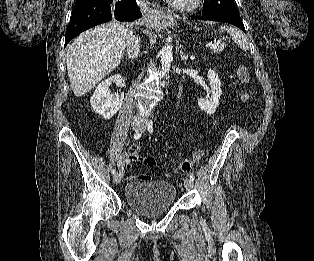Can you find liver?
<instances>
[{"mask_svg": "<svg viewBox=\"0 0 314 261\" xmlns=\"http://www.w3.org/2000/svg\"><path fill=\"white\" fill-rule=\"evenodd\" d=\"M131 30L118 22L98 25L80 34L69 46L67 71L72 91L81 97L116 69Z\"/></svg>", "mask_w": 314, "mask_h": 261, "instance_id": "1", "label": "liver"}]
</instances>
